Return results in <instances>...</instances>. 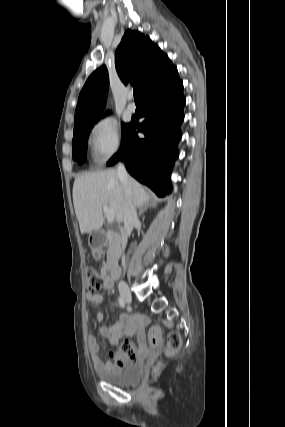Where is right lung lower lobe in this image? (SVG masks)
Listing matches in <instances>:
<instances>
[{
	"instance_id": "1",
	"label": "right lung lower lobe",
	"mask_w": 285,
	"mask_h": 427,
	"mask_svg": "<svg viewBox=\"0 0 285 427\" xmlns=\"http://www.w3.org/2000/svg\"><path fill=\"white\" fill-rule=\"evenodd\" d=\"M140 97L145 103L144 110L140 116H133L119 152L107 164L124 161L133 177L158 196H165L171 192L169 175L178 156L176 147L184 119L185 98L177 68L173 66L148 84ZM140 117L146 118L139 123ZM136 129L144 138L138 137Z\"/></svg>"
}]
</instances>
